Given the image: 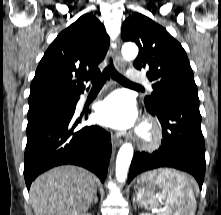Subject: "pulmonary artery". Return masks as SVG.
<instances>
[{
    "label": "pulmonary artery",
    "mask_w": 221,
    "mask_h": 215,
    "mask_svg": "<svg viewBox=\"0 0 221 215\" xmlns=\"http://www.w3.org/2000/svg\"><path fill=\"white\" fill-rule=\"evenodd\" d=\"M128 75H129V78L132 82L139 83V84H145L151 89V85H150L149 81L141 73L137 72L136 70H130ZM85 98H86V95H83L81 97L80 101L83 102Z\"/></svg>",
    "instance_id": "e3ab8cb5"
}]
</instances>
